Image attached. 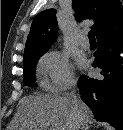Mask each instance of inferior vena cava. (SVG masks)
<instances>
[{
  "label": "inferior vena cava",
  "instance_id": "inferior-vena-cava-1",
  "mask_svg": "<svg viewBox=\"0 0 123 130\" xmlns=\"http://www.w3.org/2000/svg\"><path fill=\"white\" fill-rule=\"evenodd\" d=\"M70 93L69 95L71 96L73 102H74V108H73V121H72V126L71 130H79V121H80V112L78 110L77 106V95H76V82L72 80L70 82Z\"/></svg>",
  "mask_w": 123,
  "mask_h": 130
}]
</instances>
